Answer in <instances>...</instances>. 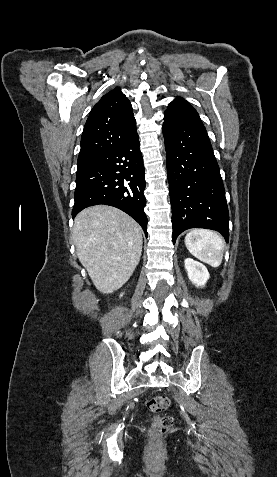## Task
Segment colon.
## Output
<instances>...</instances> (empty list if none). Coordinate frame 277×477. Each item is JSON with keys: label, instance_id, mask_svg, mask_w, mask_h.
I'll use <instances>...</instances> for the list:
<instances>
[{"label": "colon", "instance_id": "5ec220e1", "mask_svg": "<svg viewBox=\"0 0 277 477\" xmlns=\"http://www.w3.org/2000/svg\"><path fill=\"white\" fill-rule=\"evenodd\" d=\"M169 404V398L163 395L154 396L147 402L148 410L156 414L152 419L150 427V434L154 438L162 436L172 427L173 420L171 417L159 415V413L168 408Z\"/></svg>", "mask_w": 277, "mask_h": 477}]
</instances>
